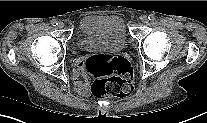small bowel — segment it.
<instances>
[{
	"mask_svg": "<svg viewBox=\"0 0 207 123\" xmlns=\"http://www.w3.org/2000/svg\"><path fill=\"white\" fill-rule=\"evenodd\" d=\"M81 76L83 78H81ZM73 84L76 91L82 95L87 96L90 93L89 73L86 68V61L79 60L78 68L73 71Z\"/></svg>",
	"mask_w": 207,
	"mask_h": 123,
	"instance_id": "obj_1",
	"label": "small bowel"
}]
</instances>
